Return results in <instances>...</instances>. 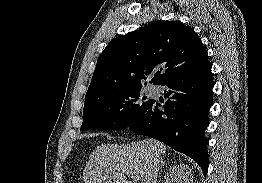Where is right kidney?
I'll return each instance as SVG.
<instances>
[{"instance_id":"obj_1","label":"right kidney","mask_w":262,"mask_h":183,"mask_svg":"<svg viewBox=\"0 0 262 183\" xmlns=\"http://www.w3.org/2000/svg\"><path fill=\"white\" fill-rule=\"evenodd\" d=\"M192 183V173L188 165H175L165 176V183Z\"/></svg>"}]
</instances>
